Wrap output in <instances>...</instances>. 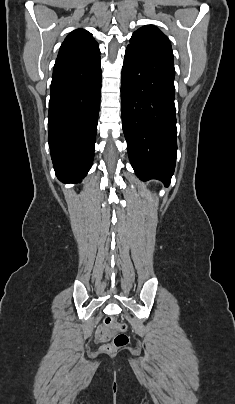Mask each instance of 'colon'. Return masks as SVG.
<instances>
[{
    "mask_svg": "<svg viewBox=\"0 0 235 404\" xmlns=\"http://www.w3.org/2000/svg\"><path fill=\"white\" fill-rule=\"evenodd\" d=\"M105 328L99 329L96 333V339L99 342L106 343L111 338L112 331H119L110 343L104 344L106 351L111 352L121 349L128 345L129 336L125 333L126 326L118 321L114 316H107L104 320Z\"/></svg>",
    "mask_w": 235,
    "mask_h": 404,
    "instance_id": "obj_1",
    "label": "colon"
}]
</instances>
